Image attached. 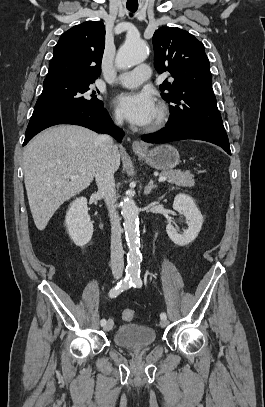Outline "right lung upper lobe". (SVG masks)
Listing matches in <instances>:
<instances>
[{
	"label": "right lung upper lobe",
	"instance_id": "1",
	"mask_svg": "<svg viewBox=\"0 0 265 407\" xmlns=\"http://www.w3.org/2000/svg\"><path fill=\"white\" fill-rule=\"evenodd\" d=\"M105 26L87 21L63 33L54 48L46 79L95 80L101 73Z\"/></svg>",
	"mask_w": 265,
	"mask_h": 407
}]
</instances>
